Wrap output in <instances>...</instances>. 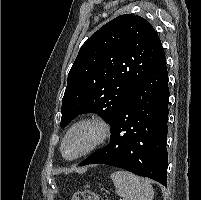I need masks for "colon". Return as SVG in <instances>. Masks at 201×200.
<instances>
[{
  "label": "colon",
  "mask_w": 201,
  "mask_h": 200,
  "mask_svg": "<svg viewBox=\"0 0 201 200\" xmlns=\"http://www.w3.org/2000/svg\"><path fill=\"white\" fill-rule=\"evenodd\" d=\"M71 200H103L96 192L94 191H76L72 195Z\"/></svg>",
  "instance_id": "1"
}]
</instances>
